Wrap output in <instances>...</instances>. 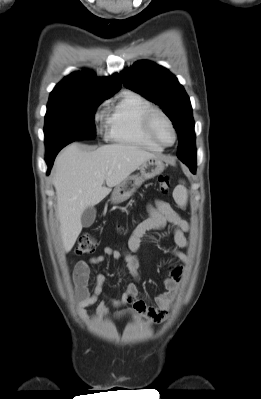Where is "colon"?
<instances>
[{
	"label": "colon",
	"mask_w": 261,
	"mask_h": 399,
	"mask_svg": "<svg viewBox=\"0 0 261 399\" xmlns=\"http://www.w3.org/2000/svg\"><path fill=\"white\" fill-rule=\"evenodd\" d=\"M171 186V177L167 174H162L158 177V188L162 193H166L169 191ZM97 242L95 238L89 234L84 233L79 236L77 245H76V253L79 255L88 254L94 251L96 248Z\"/></svg>",
	"instance_id": "obj_1"
}]
</instances>
